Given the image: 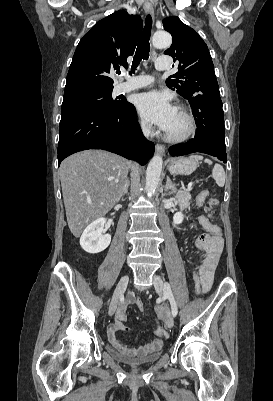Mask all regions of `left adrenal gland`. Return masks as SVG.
<instances>
[{
  "label": "left adrenal gland",
  "instance_id": "obj_1",
  "mask_svg": "<svg viewBox=\"0 0 273 401\" xmlns=\"http://www.w3.org/2000/svg\"><path fill=\"white\" fill-rule=\"evenodd\" d=\"M167 192H169V194H175V192H176V186H175L174 182H172L170 176H167V180H166V184L164 186V192H163L162 196H165V194H167Z\"/></svg>",
  "mask_w": 273,
  "mask_h": 401
}]
</instances>
